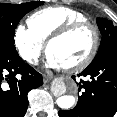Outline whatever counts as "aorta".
I'll list each match as a JSON object with an SVG mask.
<instances>
[{
  "mask_svg": "<svg viewBox=\"0 0 117 117\" xmlns=\"http://www.w3.org/2000/svg\"><path fill=\"white\" fill-rule=\"evenodd\" d=\"M67 84L61 80L56 79L52 85V92L58 96L56 103L62 109H70L75 104V97L72 95H62L67 90Z\"/></svg>",
  "mask_w": 117,
  "mask_h": 117,
  "instance_id": "762f6f07",
  "label": "aorta"
}]
</instances>
